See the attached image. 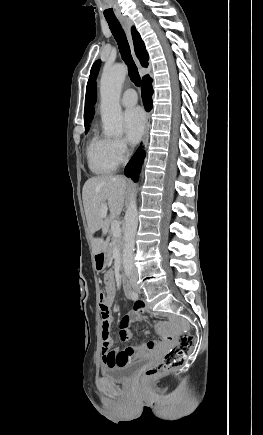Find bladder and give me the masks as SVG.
<instances>
[{
	"instance_id": "bladder-1",
	"label": "bladder",
	"mask_w": 263,
	"mask_h": 435,
	"mask_svg": "<svg viewBox=\"0 0 263 435\" xmlns=\"http://www.w3.org/2000/svg\"><path fill=\"white\" fill-rule=\"evenodd\" d=\"M144 363L145 360L140 359L120 366H105L101 368V374L103 377L115 382H126L134 376Z\"/></svg>"
}]
</instances>
